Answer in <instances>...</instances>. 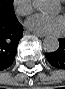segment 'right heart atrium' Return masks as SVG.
Segmentation results:
<instances>
[{
    "label": "right heart atrium",
    "mask_w": 65,
    "mask_h": 89,
    "mask_svg": "<svg viewBox=\"0 0 65 89\" xmlns=\"http://www.w3.org/2000/svg\"><path fill=\"white\" fill-rule=\"evenodd\" d=\"M14 7L17 14L26 16L32 12L33 2L32 0H16Z\"/></svg>",
    "instance_id": "right-heart-atrium-1"
}]
</instances>
